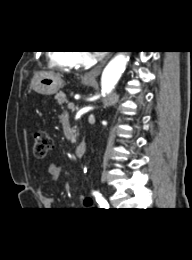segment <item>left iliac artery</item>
I'll return each instance as SVG.
<instances>
[{"label": "left iliac artery", "mask_w": 192, "mask_h": 260, "mask_svg": "<svg viewBox=\"0 0 192 260\" xmlns=\"http://www.w3.org/2000/svg\"><path fill=\"white\" fill-rule=\"evenodd\" d=\"M93 195L96 198L97 203L101 206V208H109V204L106 199L102 196V194L98 191H93Z\"/></svg>", "instance_id": "44dca946"}]
</instances>
